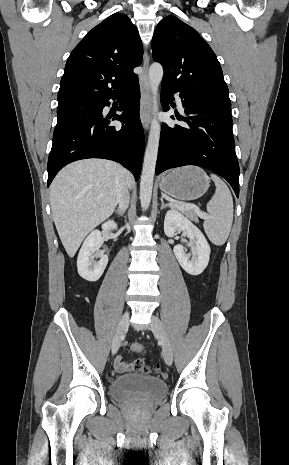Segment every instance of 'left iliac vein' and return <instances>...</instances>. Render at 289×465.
Masks as SVG:
<instances>
[{"instance_id": "4c4485c4", "label": "left iliac vein", "mask_w": 289, "mask_h": 465, "mask_svg": "<svg viewBox=\"0 0 289 465\" xmlns=\"http://www.w3.org/2000/svg\"><path fill=\"white\" fill-rule=\"evenodd\" d=\"M151 330L162 343L163 357L166 364L171 365L173 362L172 347L160 319L155 315L151 318Z\"/></svg>"}]
</instances>
